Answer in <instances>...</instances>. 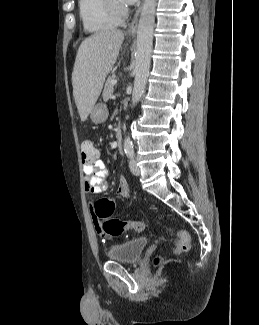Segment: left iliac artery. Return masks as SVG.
<instances>
[{
  "instance_id": "44dca946",
  "label": "left iliac artery",
  "mask_w": 259,
  "mask_h": 325,
  "mask_svg": "<svg viewBox=\"0 0 259 325\" xmlns=\"http://www.w3.org/2000/svg\"><path fill=\"white\" fill-rule=\"evenodd\" d=\"M124 151H125V154L127 155V157L132 158L134 156V148H133L132 142H130V141L125 142Z\"/></svg>"
}]
</instances>
